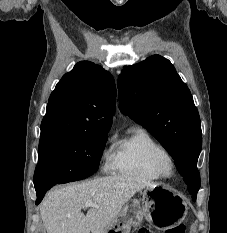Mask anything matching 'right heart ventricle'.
Instances as JSON below:
<instances>
[{"label":"right heart ventricle","instance_id":"1","mask_svg":"<svg viewBox=\"0 0 227 233\" xmlns=\"http://www.w3.org/2000/svg\"><path fill=\"white\" fill-rule=\"evenodd\" d=\"M165 149L145 129L132 128L118 140L112 159V170L120 175L155 181L162 177L154 167L155 158Z\"/></svg>","mask_w":227,"mask_h":233}]
</instances>
